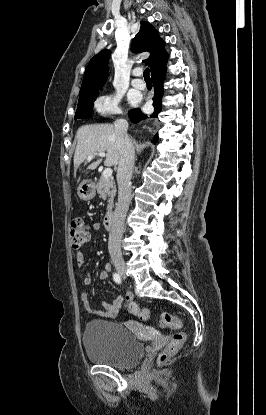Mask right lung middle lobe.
Wrapping results in <instances>:
<instances>
[{"instance_id":"dd1d6c3e","label":"right lung middle lobe","mask_w":266,"mask_h":415,"mask_svg":"<svg viewBox=\"0 0 266 415\" xmlns=\"http://www.w3.org/2000/svg\"><path fill=\"white\" fill-rule=\"evenodd\" d=\"M98 95V91L79 97L77 111L75 113V119L77 118H89L91 117V111L93 108V102Z\"/></svg>"}]
</instances>
